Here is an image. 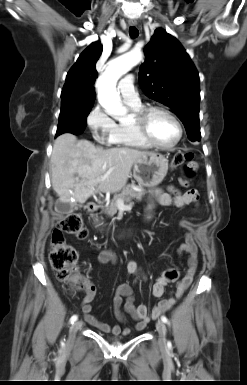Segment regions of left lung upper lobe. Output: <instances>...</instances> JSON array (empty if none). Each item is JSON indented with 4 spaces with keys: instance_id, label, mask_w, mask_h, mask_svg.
<instances>
[{
    "instance_id": "1",
    "label": "left lung upper lobe",
    "mask_w": 247,
    "mask_h": 385,
    "mask_svg": "<svg viewBox=\"0 0 247 385\" xmlns=\"http://www.w3.org/2000/svg\"><path fill=\"white\" fill-rule=\"evenodd\" d=\"M144 53L146 60L139 70L143 92L171 108L184 124L188 138L199 141V74L189 55L163 29L155 31Z\"/></svg>"
}]
</instances>
